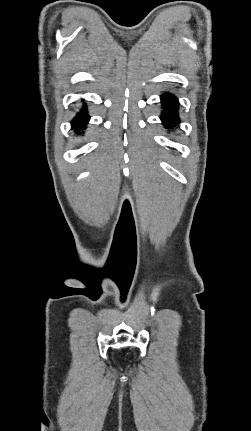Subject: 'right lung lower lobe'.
I'll list each match as a JSON object with an SVG mask.
<instances>
[{
  "label": "right lung lower lobe",
  "mask_w": 251,
  "mask_h": 431,
  "mask_svg": "<svg viewBox=\"0 0 251 431\" xmlns=\"http://www.w3.org/2000/svg\"><path fill=\"white\" fill-rule=\"evenodd\" d=\"M86 105H84V109L82 111H80L75 118H73L72 120V129H74V131L77 134H80L82 130H84L86 128V125L90 119L89 115H87L86 112Z\"/></svg>",
  "instance_id": "obj_1"
}]
</instances>
